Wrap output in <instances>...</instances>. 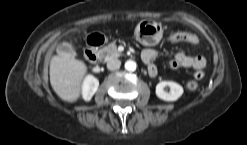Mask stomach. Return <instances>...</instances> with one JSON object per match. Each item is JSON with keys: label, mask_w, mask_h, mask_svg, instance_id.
I'll list each match as a JSON object with an SVG mask.
<instances>
[{"label": "stomach", "mask_w": 247, "mask_h": 145, "mask_svg": "<svg viewBox=\"0 0 247 145\" xmlns=\"http://www.w3.org/2000/svg\"><path fill=\"white\" fill-rule=\"evenodd\" d=\"M163 35L161 23L154 20H142L135 29L136 39L146 46L158 44Z\"/></svg>", "instance_id": "1"}]
</instances>
